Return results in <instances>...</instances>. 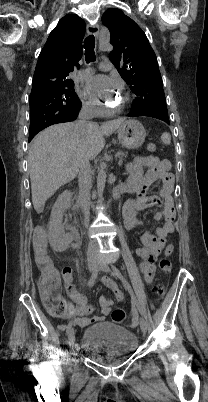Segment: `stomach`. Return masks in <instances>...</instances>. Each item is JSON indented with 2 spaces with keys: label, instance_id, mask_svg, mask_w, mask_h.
<instances>
[{
  "label": "stomach",
  "instance_id": "stomach-1",
  "mask_svg": "<svg viewBox=\"0 0 208 402\" xmlns=\"http://www.w3.org/2000/svg\"><path fill=\"white\" fill-rule=\"evenodd\" d=\"M118 140L124 148L128 150H135V148H140L142 146L146 132L137 120H126L121 124L120 128L117 130Z\"/></svg>",
  "mask_w": 208,
  "mask_h": 402
}]
</instances>
